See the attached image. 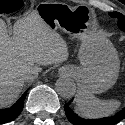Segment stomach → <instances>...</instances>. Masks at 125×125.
Segmentation results:
<instances>
[{"label": "stomach", "instance_id": "0dacf381", "mask_svg": "<svg viewBox=\"0 0 125 125\" xmlns=\"http://www.w3.org/2000/svg\"><path fill=\"white\" fill-rule=\"evenodd\" d=\"M54 31L58 29L81 41L79 60L74 68V78L79 90L100 94L111 88L119 74L120 61L117 50L103 34L95 29L91 13L86 7H55L40 5L36 11Z\"/></svg>", "mask_w": 125, "mask_h": 125}]
</instances>
